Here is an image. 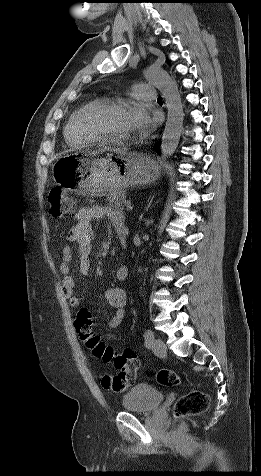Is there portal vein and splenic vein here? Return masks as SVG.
I'll list each match as a JSON object with an SVG mask.
<instances>
[{
    "instance_id": "1",
    "label": "portal vein and splenic vein",
    "mask_w": 261,
    "mask_h": 476,
    "mask_svg": "<svg viewBox=\"0 0 261 476\" xmlns=\"http://www.w3.org/2000/svg\"><path fill=\"white\" fill-rule=\"evenodd\" d=\"M125 204H126V209H127L128 211H130V210L133 209V205H132V203H131L130 201H127Z\"/></svg>"
}]
</instances>
